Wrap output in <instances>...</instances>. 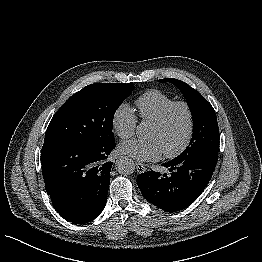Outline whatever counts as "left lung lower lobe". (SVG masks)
I'll list each match as a JSON object with an SVG mask.
<instances>
[{"mask_svg":"<svg viewBox=\"0 0 262 262\" xmlns=\"http://www.w3.org/2000/svg\"><path fill=\"white\" fill-rule=\"evenodd\" d=\"M217 161L216 156L176 157L162 164L170 174L147 171L138 175L137 184L150 203L167 212L180 211L202 194Z\"/></svg>","mask_w":262,"mask_h":262,"instance_id":"1","label":"left lung lower lobe"}]
</instances>
